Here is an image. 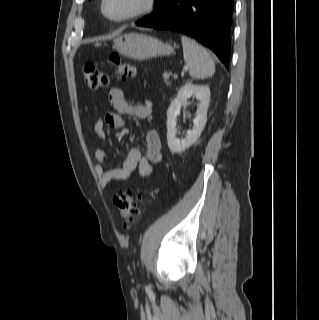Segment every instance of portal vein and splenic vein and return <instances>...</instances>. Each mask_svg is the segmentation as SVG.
<instances>
[{"mask_svg":"<svg viewBox=\"0 0 319 320\" xmlns=\"http://www.w3.org/2000/svg\"><path fill=\"white\" fill-rule=\"evenodd\" d=\"M163 77L166 78V79H168V78L170 77V74L167 73V72H165V73L163 74Z\"/></svg>","mask_w":319,"mask_h":320,"instance_id":"18ae733b","label":"portal vein and splenic vein"}]
</instances>
